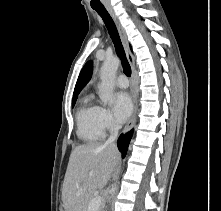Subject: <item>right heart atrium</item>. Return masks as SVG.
<instances>
[{"mask_svg":"<svg viewBox=\"0 0 221 211\" xmlns=\"http://www.w3.org/2000/svg\"><path fill=\"white\" fill-rule=\"evenodd\" d=\"M97 125L102 134L114 131L118 127L112 112L102 106L97 107Z\"/></svg>","mask_w":221,"mask_h":211,"instance_id":"1","label":"right heart atrium"}]
</instances>
